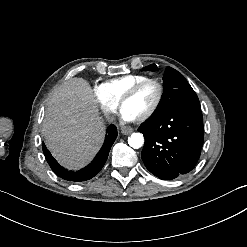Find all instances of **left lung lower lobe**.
Listing matches in <instances>:
<instances>
[{
  "label": "left lung lower lobe",
  "mask_w": 247,
  "mask_h": 247,
  "mask_svg": "<svg viewBox=\"0 0 247 247\" xmlns=\"http://www.w3.org/2000/svg\"><path fill=\"white\" fill-rule=\"evenodd\" d=\"M138 131L145 137L142 160L160 179L180 177L197 164L204 140L201 108L184 106L168 110L150 117Z\"/></svg>",
  "instance_id": "left-lung-lower-lobe-1"
}]
</instances>
